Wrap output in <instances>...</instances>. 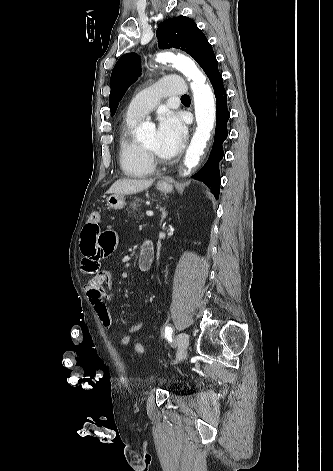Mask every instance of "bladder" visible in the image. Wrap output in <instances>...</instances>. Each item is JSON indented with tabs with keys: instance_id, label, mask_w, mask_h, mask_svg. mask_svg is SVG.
I'll return each instance as SVG.
<instances>
[{
	"instance_id": "obj_1",
	"label": "bladder",
	"mask_w": 333,
	"mask_h": 471,
	"mask_svg": "<svg viewBox=\"0 0 333 471\" xmlns=\"http://www.w3.org/2000/svg\"><path fill=\"white\" fill-rule=\"evenodd\" d=\"M141 379L145 383H150V382H153L155 380V377H154V375H152L150 373L144 372L141 375Z\"/></svg>"
}]
</instances>
